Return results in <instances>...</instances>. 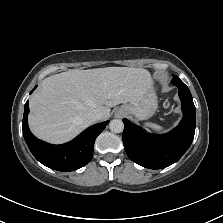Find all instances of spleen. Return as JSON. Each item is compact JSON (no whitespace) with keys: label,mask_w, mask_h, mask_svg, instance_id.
Segmentation results:
<instances>
[{"label":"spleen","mask_w":223,"mask_h":223,"mask_svg":"<svg viewBox=\"0 0 223 223\" xmlns=\"http://www.w3.org/2000/svg\"><path fill=\"white\" fill-rule=\"evenodd\" d=\"M145 126L150 127V128H152V129H154L156 131H161L162 130L161 126H159L157 124H154V123L147 122V123H145Z\"/></svg>","instance_id":"1"}]
</instances>
